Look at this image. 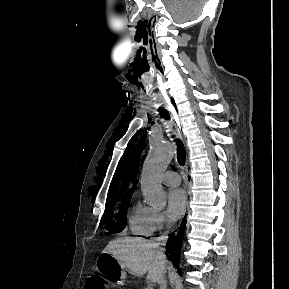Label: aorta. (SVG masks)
<instances>
[{"instance_id": "obj_1", "label": "aorta", "mask_w": 289, "mask_h": 289, "mask_svg": "<svg viewBox=\"0 0 289 289\" xmlns=\"http://www.w3.org/2000/svg\"><path fill=\"white\" fill-rule=\"evenodd\" d=\"M173 156L174 149L170 142L163 138L151 142L143 164L141 190L146 203L154 208H163L166 205V193L159 177L167 169Z\"/></svg>"}]
</instances>
